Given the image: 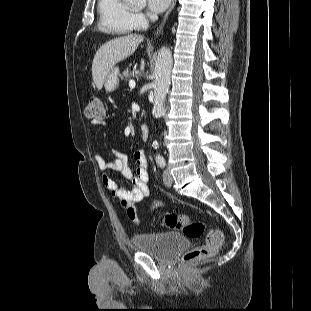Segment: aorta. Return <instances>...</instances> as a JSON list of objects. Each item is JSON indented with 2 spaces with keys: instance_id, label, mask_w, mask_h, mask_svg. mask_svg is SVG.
I'll return each instance as SVG.
<instances>
[{
  "instance_id": "aorta-1",
  "label": "aorta",
  "mask_w": 311,
  "mask_h": 311,
  "mask_svg": "<svg viewBox=\"0 0 311 311\" xmlns=\"http://www.w3.org/2000/svg\"><path fill=\"white\" fill-rule=\"evenodd\" d=\"M126 2L141 5L145 0H125ZM173 65L172 53L168 47H162L155 63L154 80V104L152 115L160 118L165 113V98L170 85L171 69ZM155 148H158L157 141L153 142Z\"/></svg>"
}]
</instances>
